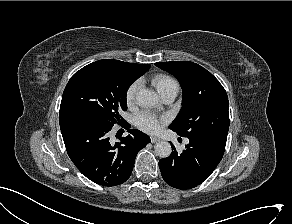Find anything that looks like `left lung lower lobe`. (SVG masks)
<instances>
[{
	"mask_svg": "<svg viewBox=\"0 0 292 224\" xmlns=\"http://www.w3.org/2000/svg\"><path fill=\"white\" fill-rule=\"evenodd\" d=\"M189 144L180 154L172 145L168 158L159 160L164 181L178 189H189L208 178L221 161L225 145L214 141L188 138Z\"/></svg>",
	"mask_w": 292,
	"mask_h": 224,
	"instance_id": "0a47b994",
	"label": "left lung lower lobe"
}]
</instances>
